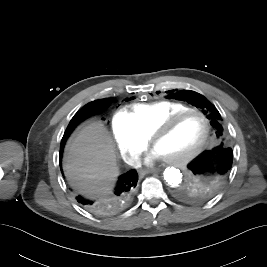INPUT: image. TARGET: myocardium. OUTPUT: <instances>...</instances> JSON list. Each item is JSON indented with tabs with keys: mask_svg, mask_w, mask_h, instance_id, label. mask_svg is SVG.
Wrapping results in <instances>:
<instances>
[{
	"mask_svg": "<svg viewBox=\"0 0 267 267\" xmlns=\"http://www.w3.org/2000/svg\"><path fill=\"white\" fill-rule=\"evenodd\" d=\"M195 114L198 115L202 118L205 126V131L202 140L200 143L190 152L181 155V156H176L172 158H166L167 162L172 163V164H177V165H183L188 163L190 160L198 156L200 153H202L205 148L208 145V140L210 136V120L207 117V115L202 112L201 110L198 109H186L177 113L172 114L168 118H166L160 125H158L154 131L151 133L149 140L152 146L155 145L156 141L166 134L177 122H179L181 119L184 117Z\"/></svg>",
	"mask_w": 267,
	"mask_h": 267,
	"instance_id": "myocardium-1",
	"label": "myocardium"
}]
</instances>
